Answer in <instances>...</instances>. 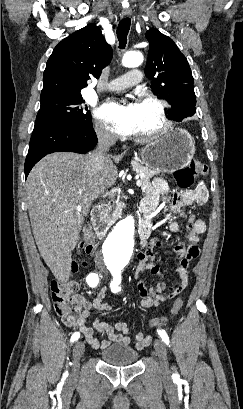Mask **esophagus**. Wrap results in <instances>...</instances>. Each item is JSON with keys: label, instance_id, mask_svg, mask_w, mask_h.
I'll return each instance as SVG.
<instances>
[{"label": "esophagus", "instance_id": "obj_1", "mask_svg": "<svg viewBox=\"0 0 243 409\" xmlns=\"http://www.w3.org/2000/svg\"><path fill=\"white\" fill-rule=\"evenodd\" d=\"M122 17H129L131 15V11L128 9H125L122 11Z\"/></svg>", "mask_w": 243, "mask_h": 409}]
</instances>
